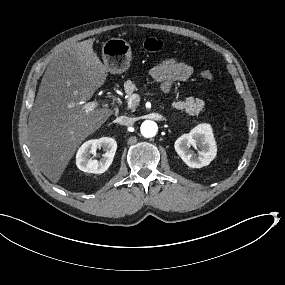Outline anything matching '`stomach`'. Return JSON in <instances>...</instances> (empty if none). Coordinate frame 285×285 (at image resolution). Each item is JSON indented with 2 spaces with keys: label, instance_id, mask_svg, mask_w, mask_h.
<instances>
[{
  "label": "stomach",
  "instance_id": "obj_1",
  "mask_svg": "<svg viewBox=\"0 0 285 285\" xmlns=\"http://www.w3.org/2000/svg\"><path fill=\"white\" fill-rule=\"evenodd\" d=\"M104 64L112 73H121L128 69L132 58L131 45L122 38L112 37L102 45Z\"/></svg>",
  "mask_w": 285,
  "mask_h": 285
}]
</instances>
